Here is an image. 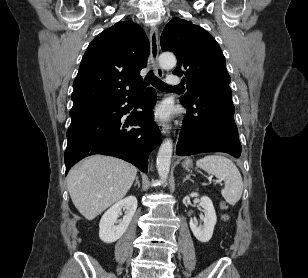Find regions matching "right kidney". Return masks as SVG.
<instances>
[{"label":"right kidney","instance_id":"obj_1","mask_svg":"<svg viewBox=\"0 0 308 278\" xmlns=\"http://www.w3.org/2000/svg\"><path fill=\"white\" fill-rule=\"evenodd\" d=\"M122 208L126 209V213L119 224L115 225ZM136 209L137 199L134 196L126 197L108 209L99 223L100 239L105 243H113L117 241L127 230Z\"/></svg>","mask_w":308,"mask_h":278}]
</instances>
